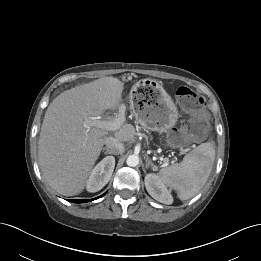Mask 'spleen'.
<instances>
[{
  "instance_id": "spleen-1",
  "label": "spleen",
  "mask_w": 261,
  "mask_h": 261,
  "mask_svg": "<svg viewBox=\"0 0 261 261\" xmlns=\"http://www.w3.org/2000/svg\"><path fill=\"white\" fill-rule=\"evenodd\" d=\"M214 160V143L205 142L186 154L180 163L162 168L158 175L166 186L177 191L180 200H187L204 186Z\"/></svg>"
}]
</instances>
